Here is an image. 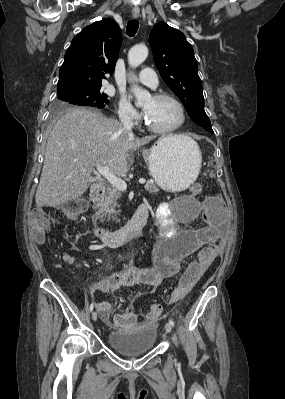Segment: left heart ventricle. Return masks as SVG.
<instances>
[{"mask_svg": "<svg viewBox=\"0 0 285 399\" xmlns=\"http://www.w3.org/2000/svg\"><path fill=\"white\" fill-rule=\"evenodd\" d=\"M147 119L156 127L169 128L177 125L181 120L179 106L172 100L146 101L143 105Z\"/></svg>", "mask_w": 285, "mask_h": 399, "instance_id": "b2bd125f", "label": "left heart ventricle"}]
</instances>
